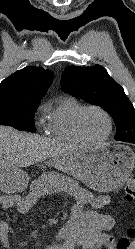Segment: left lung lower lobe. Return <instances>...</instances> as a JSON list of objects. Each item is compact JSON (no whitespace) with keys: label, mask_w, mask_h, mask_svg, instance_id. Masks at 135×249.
I'll use <instances>...</instances> for the list:
<instances>
[{"label":"left lung lower lobe","mask_w":135,"mask_h":249,"mask_svg":"<svg viewBox=\"0 0 135 249\" xmlns=\"http://www.w3.org/2000/svg\"><path fill=\"white\" fill-rule=\"evenodd\" d=\"M129 143H133V144H135V140H132L131 142H129Z\"/></svg>","instance_id":"left-lung-lower-lobe-1"}]
</instances>
